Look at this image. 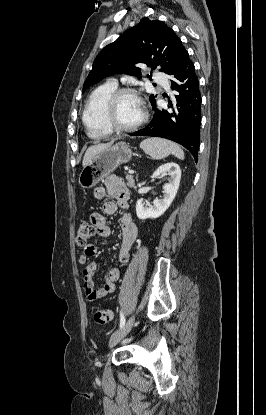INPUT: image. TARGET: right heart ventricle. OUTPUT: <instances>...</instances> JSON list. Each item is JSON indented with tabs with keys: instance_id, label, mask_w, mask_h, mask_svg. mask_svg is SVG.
<instances>
[{
	"instance_id": "1",
	"label": "right heart ventricle",
	"mask_w": 266,
	"mask_h": 415,
	"mask_svg": "<svg viewBox=\"0 0 266 415\" xmlns=\"http://www.w3.org/2000/svg\"><path fill=\"white\" fill-rule=\"evenodd\" d=\"M117 89L116 84L105 83L89 96L83 111V123L87 135L92 139H104L113 133L105 117V106L110 95Z\"/></svg>"
}]
</instances>
